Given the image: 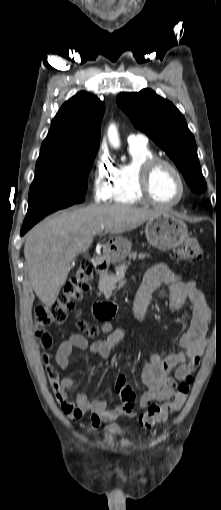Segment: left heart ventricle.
<instances>
[{
  "label": "left heart ventricle",
  "mask_w": 221,
  "mask_h": 510,
  "mask_svg": "<svg viewBox=\"0 0 221 510\" xmlns=\"http://www.w3.org/2000/svg\"><path fill=\"white\" fill-rule=\"evenodd\" d=\"M153 197L163 203L175 201L180 195V183L174 172L167 166H159L153 173L151 182Z\"/></svg>",
  "instance_id": "obj_1"
}]
</instances>
